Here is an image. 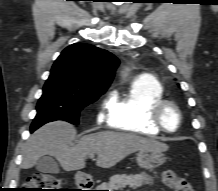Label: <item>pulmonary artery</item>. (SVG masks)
<instances>
[{
  "label": "pulmonary artery",
  "instance_id": "1",
  "mask_svg": "<svg viewBox=\"0 0 218 191\" xmlns=\"http://www.w3.org/2000/svg\"><path fill=\"white\" fill-rule=\"evenodd\" d=\"M140 77L143 79H149V78H152V75L148 72H143L140 74Z\"/></svg>",
  "mask_w": 218,
  "mask_h": 191
}]
</instances>
